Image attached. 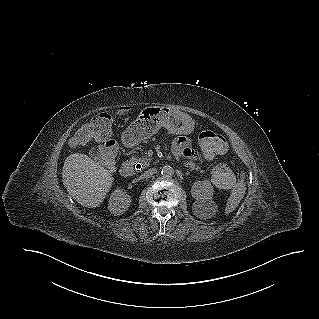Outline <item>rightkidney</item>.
I'll return each mask as SVG.
<instances>
[{"label": "right kidney", "mask_w": 319, "mask_h": 319, "mask_svg": "<svg viewBox=\"0 0 319 319\" xmlns=\"http://www.w3.org/2000/svg\"><path fill=\"white\" fill-rule=\"evenodd\" d=\"M131 198L128 194L124 193L122 189L117 188L111 194L109 200V211L114 215H122L129 208Z\"/></svg>", "instance_id": "right-kidney-1"}]
</instances>
